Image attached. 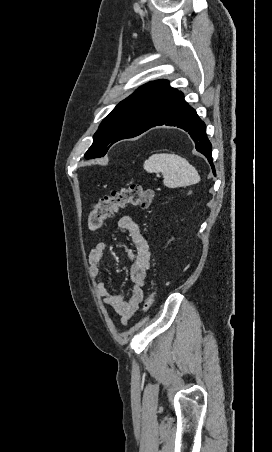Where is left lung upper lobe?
<instances>
[{
    "instance_id": "obj_1",
    "label": "left lung upper lobe",
    "mask_w": 272,
    "mask_h": 452,
    "mask_svg": "<svg viewBox=\"0 0 272 452\" xmlns=\"http://www.w3.org/2000/svg\"><path fill=\"white\" fill-rule=\"evenodd\" d=\"M176 92L166 80L153 81L138 88L104 118L85 158L102 157L118 140L132 138L147 130Z\"/></svg>"
}]
</instances>
